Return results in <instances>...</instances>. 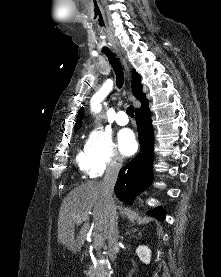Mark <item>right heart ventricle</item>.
<instances>
[{
	"instance_id": "e07e8e85",
	"label": "right heart ventricle",
	"mask_w": 221,
	"mask_h": 277,
	"mask_svg": "<svg viewBox=\"0 0 221 277\" xmlns=\"http://www.w3.org/2000/svg\"><path fill=\"white\" fill-rule=\"evenodd\" d=\"M76 162L82 171L88 172L85 151H80L76 156Z\"/></svg>"
}]
</instances>
